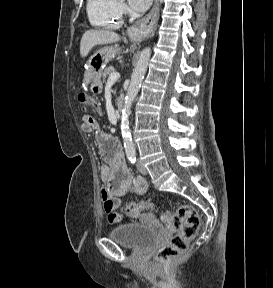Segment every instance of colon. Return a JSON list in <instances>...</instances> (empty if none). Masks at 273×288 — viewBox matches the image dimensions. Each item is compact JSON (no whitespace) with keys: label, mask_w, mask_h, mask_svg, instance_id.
<instances>
[{"label":"colon","mask_w":273,"mask_h":288,"mask_svg":"<svg viewBox=\"0 0 273 288\" xmlns=\"http://www.w3.org/2000/svg\"><path fill=\"white\" fill-rule=\"evenodd\" d=\"M79 100L84 110H99V107L88 96L81 94ZM152 207V203L148 201L129 203L125 206V212L130 217L135 218L143 210L151 209ZM161 221L168 229L175 232L170 242L160 248L155 255V261L158 264L166 265L186 252L189 243L195 238L199 230L201 219L194 207L183 204L173 213H163Z\"/></svg>","instance_id":"colon-1"}]
</instances>
